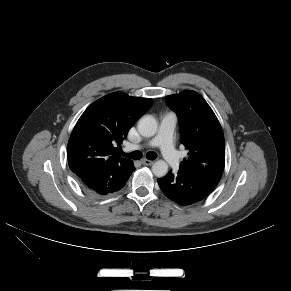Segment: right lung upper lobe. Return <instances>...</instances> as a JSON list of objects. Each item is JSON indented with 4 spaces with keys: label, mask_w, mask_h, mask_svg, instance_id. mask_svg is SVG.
Returning a JSON list of instances; mask_svg holds the SVG:
<instances>
[{
    "label": "right lung upper lobe",
    "mask_w": 291,
    "mask_h": 291,
    "mask_svg": "<svg viewBox=\"0 0 291 291\" xmlns=\"http://www.w3.org/2000/svg\"><path fill=\"white\" fill-rule=\"evenodd\" d=\"M152 99L108 94L91 104L77 121L67 146L71 171L78 177L101 166H130L132 161L117 156L116 146L133 124L151 107Z\"/></svg>",
    "instance_id": "cb5924a9"
}]
</instances>
